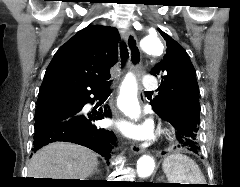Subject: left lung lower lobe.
Segmentation results:
<instances>
[{
    "mask_svg": "<svg viewBox=\"0 0 240 187\" xmlns=\"http://www.w3.org/2000/svg\"><path fill=\"white\" fill-rule=\"evenodd\" d=\"M157 113V112H156ZM164 121L169 122L175 129L178 146L187 148L194 153H198L200 146L198 143L199 126L191 119L182 115L172 113H157Z\"/></svg>",
    "mask_w": 240,
    "mask_h": 187,
    "instance_id": "obj_1",
    "label": "left lung lower lobe"
}]
</instances>
